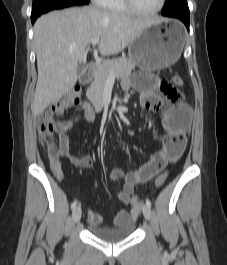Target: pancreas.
<instances>
[{
	"instance_id": "pancreas-1",
	"label": "pancreas",
	"mask_w": 227,
	"mask_h": 265,
	"mask_svg": "<svg viewBox=\"0 0 227 265\" xmlns=\"http://www.w3.org/2000/svg\"><path fill=\"white\" fill-rule=\"evenodd\" d=\"M133 69H135V63L126 57L109 59L97 64L93 69V81L87 89V97L94 104L102 106L103 90L110 71H113L116 77H127Z\"/></svg>"
}]
</instances>
